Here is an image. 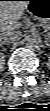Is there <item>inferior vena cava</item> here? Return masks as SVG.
Wrapping results in <instances>:
<instances>
[{
    "label": "inferior vena cava",
    "mask_w": 50,
    "mask_h": 111,
    "mask_svg": "<svg viewBox=\"0 0 50 111\" xmlns=\"http://www.w3.org/2000/svg\"><path fill=\"white\" fill-rule=\"evenodd\" d=\"M21 35L20 31H9L4 33L2 39L5 43H14L21 39Z\"/></svg>",
    "instance_id": "inferior-vena-cava-1"
}]
</instances>
